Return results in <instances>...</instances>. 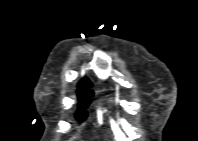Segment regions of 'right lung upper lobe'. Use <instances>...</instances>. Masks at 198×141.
I'll use <instances>...</instances> for the list:
<instances>
[{"label":"right lung upper lobe","mask_w":198,"mask_h":141,"mask_svg":"<svg viewBox=\"0 0 198 141\" xmlns=\"http://www.w3.org/2000/svg\"><path fill=\"white\" fill-rule=\"evenodd\" d=\"M91 86V83L88 79L84 78L79 83V88Z\"/></svg>","instance_id":"right-lung-upper-lobe-1"}]
</instances>
